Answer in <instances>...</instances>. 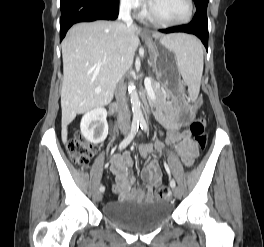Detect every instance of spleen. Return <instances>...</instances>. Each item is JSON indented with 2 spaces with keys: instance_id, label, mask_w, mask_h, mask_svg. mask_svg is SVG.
Returning a JSON list of instances; mask_svg holds the SVG:
<instances>
[{
  "instance_id": "3e777b00",
  "label": "spleen",
  "mask_w": 264,
  "mask_h": 247,
  "mask_svg": "<svg viewBox=\"0 0 264 247\" xmlns=\"http://www.w3.org/2000/svg\"><path fill=\"white\" fill-rule=\"evenodd\" d=\"M169 48L175 54L177 67L192 99H196L203 73V46L193 36L178 34L169 40Z\"/></svg>"
}]
</instances>
